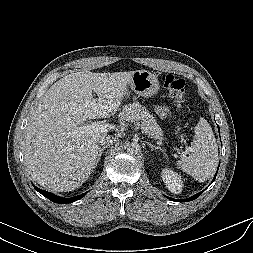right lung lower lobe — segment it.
Returning a JSON list of instances; mask_svg holds the SVG:
<instances>
[{
  "instance_id": "98d812e1",
  "label": "right lung lower lobe",
  "mask_w": 253,
  "mask_h": 253,
  "mask_svg": "<svg viewBox=\"0 0 253 253\" xmlns=\"http://www.w3.org/2000/svg\"><path fill=\"white\" fill-rule=\"evenodd\" d=\"M34 188L39 193H41L43 196H45L46 198H48L49 200H51L52 202L59 203V204H65V203L74 202L76 200H79L80 198H82L86 194V193H83V194L75 196V197L63 198V197L57 196V195H55L53 193H50L48 191L41 190V189L37 188L36 186H34Z\"/></svg>"
}]
</instances>
